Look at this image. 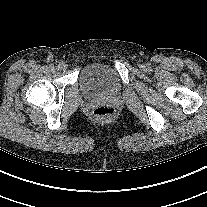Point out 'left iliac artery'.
Here are the masks:
<instances>
[{
	"label": "left iliac artery",
	"instance_id": "obj_1",
	"mask_svg": "<svg viewBox=\"0 0 207 207\" xmlns=\"http://www.w3.org/2000/svg\"><path fill=\"white\" fill-rule=\"evenodd\" d=\"M147 68H148V69H151V67H150V66H147Z\"/></svg>",
	"mask_w": 207,
	"mask_h": 207
}]
</instances>
